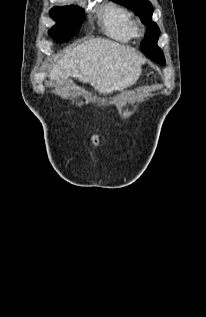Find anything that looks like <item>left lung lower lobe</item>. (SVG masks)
Instances as JSON below:
<instances>
[{"label": "left lung lower lobe", "instance_id": "left-lung-lower-lobe-1", "mask_svg": "<svg viewBox=\"0 0 206 317\" xmlns=\"http://www.w3.org/2000/svg\"><path fill=\"white\" fill-rule=\"evenodd\" d=\"M148 57L151 58V59L155 57V55L152 54L151 50H150V52L148 53Z\"/></svg>", "mask_w": 206, "mask_h": 317}]
</instances>
